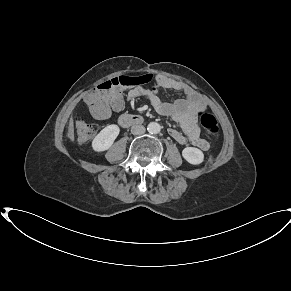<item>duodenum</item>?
Masks as SVG:
<instances>
[{"label": "duodenum", "instance_id": "410a0bca", "mask_svg": "<svg viewBox=\"0 0 291 291\" xmlns=\"http://www.w3.org/2000/svg\"><path fill=\"white\" fill-rule=\"evenodd\" d=\"M144 122L143 118L139 115L123 114L119 118V123L123 127H129L132 125H139Z\"/></svg>", "mask_w": 291, "mask_h": 291}]
</instances>
